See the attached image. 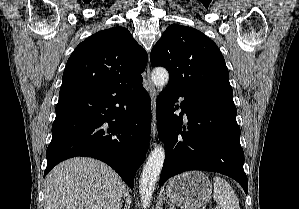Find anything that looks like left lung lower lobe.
Returning <instances> with one entry per match:
<instances>
[{"mask_svg": "<svg viewBox=\"0 0 299 209\" xmlns=\"http://www.w3.org/2000/svg\"><path fill=\"white\" fill-rule=\"evenodd\" d=\"M180 96L184 97L180 106L188 118L186 126L183 113L174 114V104ZM156 113L158 133L166 151L160 185L185 171L206 170L235 179L247 194L244 152L233 93L181 89L168 84L157 98Z\"/></svg>", "mask_w": 299, "mask_h": 209, "instance_id": "1", "label": "left lung lower lobe"}]
</instances>
